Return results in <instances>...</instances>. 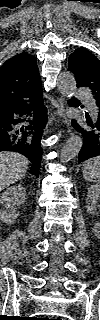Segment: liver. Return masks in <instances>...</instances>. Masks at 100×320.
I'll return each instance as SVG.
<instances>
[{
  "mask_svg": "<svg viewBox=\"0 0 100 320\" xmlns=\"http://www.w3.org/2000/svg\"><path fill=\"white\" fill-rule=\"evenodd\" d=\"M29 160L15 152L0 153V189L21 180L28 169Z\"/></svg>",
  "mask_w": 100,
  "mask_h": 320,
  "instance_id": "1",
  "label": "liver"
}]
</instances>
